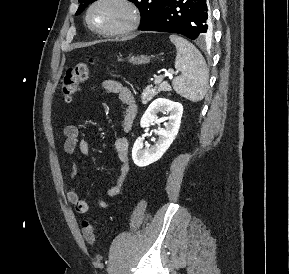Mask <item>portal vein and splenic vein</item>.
<instances>
[{"mask_svg":"<svg viewBox=\"0 0 289 274\" xmlns=\"http://www.w3.org/2000/svg\"><path fill=\"white\" fill-rule=\"evenodd\" d=\"M172 74H173V73H171L169 76L172 77ZM163 79H164V76H163V75H159V76L156 77L154 83H155V84H159V83L162 82Z\"/></svg>","mask_w":289,"mask_h":274,"instance_id":"portal-vein-and-splenic-vein-1","label":"portal vein and splenic vein"}]
</instances>
